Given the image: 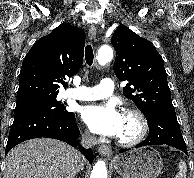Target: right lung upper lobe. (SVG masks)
<instances>
[{
	"label": "right lung upper lobe",
	"mask_w": 194,
	"mask_h": 178,
	"mask_svg": "<svg viewBox=\"0 0 194 178\" xmlns=\"http://www.w3.org/2000/svg\"><path fill=\"white\" fill-rule=\"evenodd\" d=\"M84 45V31L69 24L36 41L21 67L17 102L57 96L81 67Z\"/></svg>",
	"instance_id": "right-lung-upper-lobe-1"
}]
</instances>
